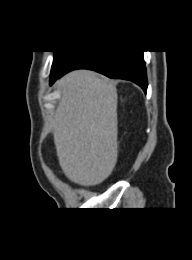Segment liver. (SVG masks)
I'll list each match as a JSON object with an SVG mask.
<instances>
[{"label":"liver","instance_id":"liver-1","mask_svg":"<svg viewBox=\"0 0 192 260\" xmlns=\"http://www.w3.org/2000/svg\"><path fill=\"white\" fill-rule=\"evenodd\" d=\"M61 98L53 137L60 166L83 186L104 181L117 161L115 84L89 70H76L58 81Z\"/></svg>","mask_w":192,"mask_h":260}]
</instances>
